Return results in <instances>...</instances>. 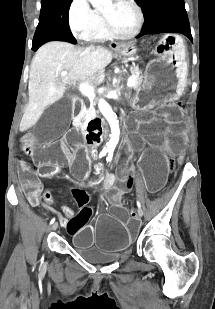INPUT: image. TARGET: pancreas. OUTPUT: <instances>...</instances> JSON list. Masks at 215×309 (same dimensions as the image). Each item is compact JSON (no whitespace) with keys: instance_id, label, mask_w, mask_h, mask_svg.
I'll return each instance as SVG.
<instances>
[{"instance_id":"pancreas-1","label":"pancreas","mask_w":215,"mask_h":309,"mask_svg":"<svg viewBox=\"0 0 215 309\" xmlns=\"http://www.w3.org/2000/svg\"><path fill=\"white\" fill-rule=\"evenodd\" d=\"M131 72H132V76H134V78L136 80L135 88H138V86H140V84H142V80H143L144 76H142L141 70H138V68H136V66H133ZM128 90H131V88H128ZM80 114H82L83 118H85L84 124H87V122H88V120H90V118H94V116H96L94 100H90V104H89L88 108H85V110H82V112H80Z\"/></svg>"}]
</instances>
